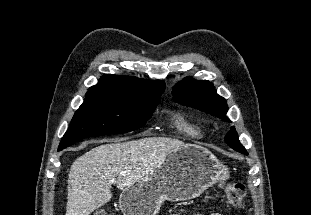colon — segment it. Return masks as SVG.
<instances>
[{"label":"colon","instance_id":"5ec220e1","mask_svg":"<svg viewBox=\"0 0 311 215\" xmlns=\"http://www.w3.org/2000/svg\"><path fill=\"white\" fill-rule=\"evenodd\" d=\"M228 202L236 207L243 208L247 196L246 188L241 183L228 184L224 187ZM93 215H110L105 210H98Z\"/></svg>","mask_w":311,"mask_h":215}]
</instances>
